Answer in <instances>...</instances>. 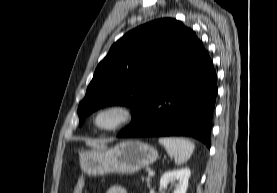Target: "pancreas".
<instances>
[{
	"instance_id": "cf45deb5",
	"label": "pancreas",
	"mask_w": 277,
	"mask_h": 193,
	"mask_svg": "<svg viewBox=\"0 0 277 193\" xmlns=\"http://www.w3.org/2000/svg\"><path fill=\"white\" fill-rule=\"evenodd\" d=\"M142 180H144V179H142ZM145 180L147 182V186H149L150 185V178H146Z\"/></svg>"
}]
</instances>
